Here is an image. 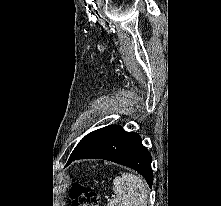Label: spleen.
<instances>
[{"mask_svg": "<svg viewBox=\"0 0 221 206\" xmlns=\"http://www.w3.org/2000/svg\"><path fill=\"white\" fill-rule=\"evenodd\" d=\"M113 184L116 197L107 206L147 205L146 185L139 176L123 172L115 177Z\"/></svg>", "mask_w": 221, "mask_h": 206, "instance_id": "obj_1", "label": "spleen"}]
</instances>
